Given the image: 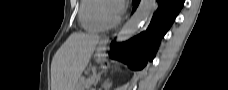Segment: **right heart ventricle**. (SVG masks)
I'll list each match as a JSON object with an SVG mask.
<instances>
[{"label":"right heart ventricle","mask_w":228,"mask_h":90,"mask_svg":"<svg viewBox=\"0 0 228 90\" xmlns=\"http://www.w3.org/2000/svg\"><path fill=\"white\" fill-rule=\"evenodd\" d=\"M102 0H82L80 3L78 18L81 26L88 32H101L105 27L97 18V9Z\"/></svg>","instance_id":"1"}]
</instances>
